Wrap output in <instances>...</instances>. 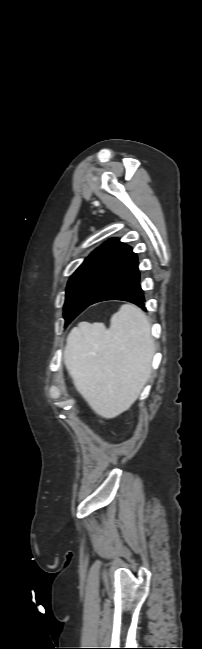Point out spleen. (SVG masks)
Listing matches in <instances>:
<instances>
[{"instance_id":"1","label":"spleen","mask_w":202,"mask_h":649,"mask_svg":"<svg viewBox=\"0 0 202 649\" xmlns=\"http://www.w3.org/2000/svg\"><path fill=\"white\" fill-rule=\"evenodd\" d=\"M154 341L146 315L124 304L103 324L80 323L67 337L64 361L77 390L100 416L112 418L138 398L151 371Z\"/></svg>"}]
</instances>
